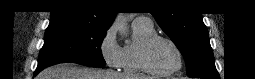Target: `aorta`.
Here are the masks:
<instances>
[{
	"label": "aorta",
	"instance_id": "762f6f07",
	"mask_svg": "<svg viewBox=\"0 0 255 79\" xmlns=\"http://www.w3.org/2000/svg\"><path fill=\"white\" fill-rule=\"evenodd\" d=\"M113 26H114L115 28H117V30H118L121 34L125 35V34L127 33V24H126V22H125L124 16H122L121 14H119V15L116 17V19H115V21H114V23H113Z\"/></svg>",
	"mask_w": 255,
	"mask_h": 79
}]
</instances>
